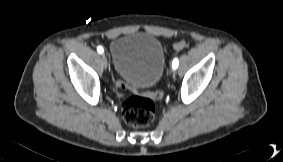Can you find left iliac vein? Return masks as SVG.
<instances>
[{"label": "left iliac vein", "instance_id": "4c4485c4", "mask_svg": "<svg viewBox=\"0 0 283 162\" xmlns=\"http://www.w3.org/2000/svg\"><path fill=\"white\" fill-rule=\"evenodd\" d=\"M172 74H173V75L176 74V70H175V69L172 70Z\"/></svg>", "mask_w": 283, "mask_h": 162}]
</instances>
